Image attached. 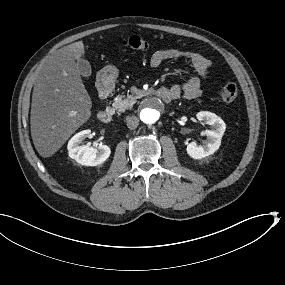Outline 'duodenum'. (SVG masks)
<instances>
[{"mask_svg":"<svg viewBox=\"0 0 285 285\" xmlns=\"http://www.w3.org/2000/svg\"><path fill=\"white\" fill-rule=\"evenodd\" d=\"M111 91V84L108 81H101L99 84V95L101 99H105ZM154 93L164 101H171L176 98L174 92L168 88H158ZM113 109L106 107L98 112V119L103 123H109L113 117Z\"/></svg>","mask_w":285,"mask_h":285,"instance_id":"410a0bca","label":"duodenum"}]
</instances>
